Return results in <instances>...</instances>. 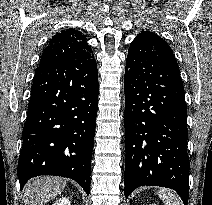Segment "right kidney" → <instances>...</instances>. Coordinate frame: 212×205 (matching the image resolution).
Segmentation results:
<instances>
[{"label": "right kidney", "mask_w": 212, "mask_h": 205, "mask_svg": "<svg viewBox=\"0 0 212 205\" xmlns=\"http://www.w3.org/2000/svg\"><path fill=\"white\" fill-rule=\"evenodd\" d=\"M53 205H70V201L68 198H60Z\"/></svg>", "instance_id": "right-kidney-1"}]
</instances>
